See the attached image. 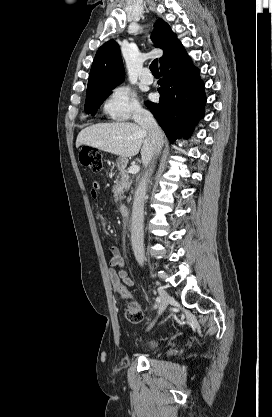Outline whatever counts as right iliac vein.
Returning <instances> with one entry per match:
<instances>
[{
	"instance_id": "1",
	"label": "right iliac vein",
	"mask_w": 272,
	"mask_h": 417,
	"mask_svg": "<svg viewBox=\"0 0 272 417\" xmlns=\"http://www.w3.org/2000/svg\"><path fill=\"white\" fill-rule=\"evenodd\" d=\"M158 293H159V296H160V304H159V309H158V315H161L165 311V309L167 308L169 302L171 301V297L161 287L158 288ZM153 325H154V322L151 324L150 327H152Z\"/></svg>"
}]
</instances>
